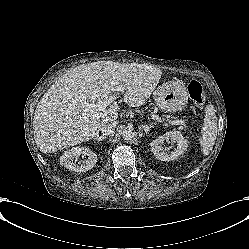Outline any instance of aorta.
Returning <instances> with one entry per match:
<instances>
[{
    "label": "aorta",
    "mask_w": 249,
    "mask_h": 249,
    "mask_svg": "<svg viewBox=\"0 0 249 249\" xmlns=\"http://www.w3.org/2000/svg\"><path fill=\"white\" fill-rule=\"evenodd\" d=\"M123 139L126 141L135 140V132L132 128H126L123 130Z\"/></svg>",
    "instance_id": "obj_1"
}]
</instances>
